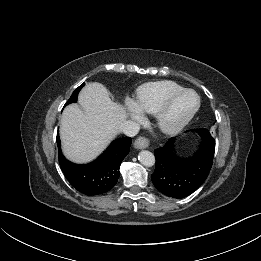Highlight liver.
I'll return each instance as SVG.
<instances>
[{
	"label": "liver",
	"mask_w": 261,
	"mask_h": 261,
	"mask_svg": "<svg viewBox=\"0 0 261 261\" xmlns=\"http://www.w3.org/2000/svg\"><path fill=\"white\" fill-rule=\"evenodd\" d=\"M77 104L67 106L60 122L64 155L76 163L95 159L118 133L127 118L125 108L111 100L100 83L87 84Z\"/></svg>",
	"instance_id": "obj_1"
}]
</instances>
